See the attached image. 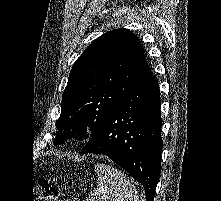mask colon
Masks as SVG:
<instances>
[{"label":"colon","instance_id":"obj_1","mask_svg":"<svg viewBox=\"0 0 221 201\" xmlns=\"http://www.w3.org/2000/svg\"><path fill=\"white\" fill-rule=\"evenodd\" d=\"M35 199L41 201H63L58 187L52 185L48 179L38 181L35 189Z\"/></svg>","mask_w":221,"mask_h":201}]
</instances>
